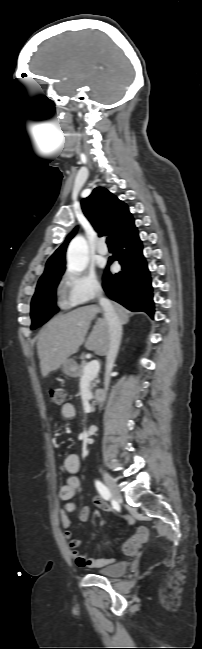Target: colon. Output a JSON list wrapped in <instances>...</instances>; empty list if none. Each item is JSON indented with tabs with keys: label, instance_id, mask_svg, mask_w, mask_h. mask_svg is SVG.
<instances>
[{
	"label": "colon",
	"instance_id": "1",
	"mask_svg": "<svg viewBox=\"0 0 202 649\" xmlns=\"http://www.w3.org/2000/svg\"><path fill=\"white\" fill-rule=\"evenodd\" d=\"M49 397L51 401L57 405H61L65 399V391L62 388H52L49 390ZM148 540V530L145 527L137 529L124 545V551L127 554H132L137 551L141 544Z\"/></svg>",
	"mask_w": 202,
	"mask_h": 649
}]
</instances>
